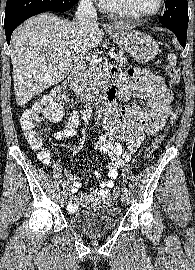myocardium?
Masks as SVG:
<instances>
[{
	"mask_svg": "<svg viewBox=\"0 0 195 270\" xmlns=\"http://www.w3.org/2000/svg\"><path fill=\"white\" fill-rule=\"evenodd\" d=\"M125 9L137 19H147L156 16L163 8L164 0H158L156 9L149 13H139L133 9L129 0H120Z\"/></svg>",
	"mask_w": 195,
	"mask_h": 270,
	"instance_id": "1",
	"label": "myocardium"
}]
</instances>
